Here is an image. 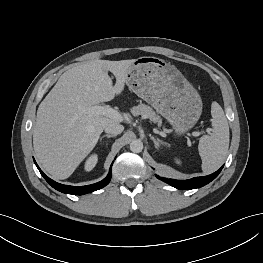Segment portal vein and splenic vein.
<instances>
[{"instance_id": "1", "label": "portal vein and splenic vein", "mask_w": 263, "mask_h": 263, "mask_svg": "<svg viewBox=\"0 0 263 263\" xmlns=\"http://www.w3.org/2000/svg\"><path fill=\"white\" fill-rule=\"evenodd\" d=\"M84 112L87 114H90V115H103L105 117H108V118L113 119V120L118 121V122L122 121L121 114L117 110L111 108L108 105L91 106V107L86 108L84 110ZM206 132L209 133L210 129L207 128ZM201 134H203V132H192L191 133V135L195 136V137H198Z\"/></svg>"}]
</instances>
